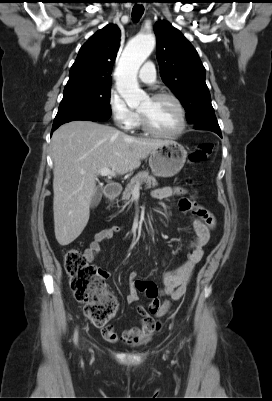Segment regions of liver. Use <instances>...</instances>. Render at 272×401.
Returning a JSON list of instances; mask_svg holds the SVG:
<instances>
[{"label":"liver","instance_id":"1","mask_svg":"<svg viewBox=\"0 0 272 401\" xmlns=\"http://www.w3.org/2000/svg\"><path fill=\"white\" fill-rule=\"evenodd\" d=\"M168 140L126 135L108 125L71 121L52 136L53 212L55 237L66 246L84 230L96 177L102 168L118 174L133 171L154 149Z\"/></svg>","mask_w":272,"mask_h":401}]
</instances>
